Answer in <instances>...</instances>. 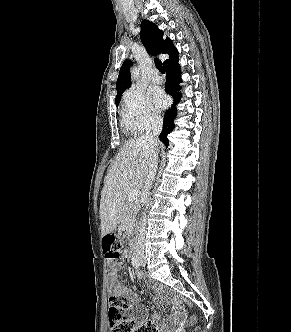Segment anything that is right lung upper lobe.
Instances as JSON below:
<instances>
[{"mask_svg":"<svg viewBox=\"0 0 291 332\" xmlns=\"http://www.w3.org/2000/svg\"><path fill=\"white\" fill-rule=\"evenodd\" d=\"M141 28L140 38L142 43L152 55H169V59L163 63L164 66L178 58V51L172 41L169 38L163 40V31L159 30L154 23L144 20L141 23ZM129 65L130 60H127L120 68L116 84V102L120 101L122 93L131 85Z\"/></svg>","mask_w":291,"mask_h":332,"instance_id":"right-lung-upper-lobe-1","label":"right lung upper lobe"}]
</instances>
